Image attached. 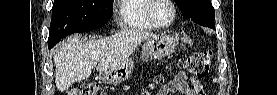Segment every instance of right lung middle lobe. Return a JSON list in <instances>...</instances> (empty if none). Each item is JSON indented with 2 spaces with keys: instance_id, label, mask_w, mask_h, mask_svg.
<instances>
[{
  "instance_id": "1",
  "label": "right lung middle lobe",
  "mask_w": 277,
  "mask_h": 95,
  "mask_svg": "<svg viewBox=\"0 0 277 95\" xmlns=\"http://www.w3.org/2000/svg\"><path fill=\"white\" fill-rule=\"evenodd\" d=\"M113 0H54L49 31L53 46L65 36L100 28L113 13Z\"/></svg>"
}]
</instances>
